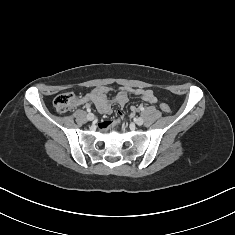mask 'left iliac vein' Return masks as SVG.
Segmentation results:
<instances>
[{
	"label": "left iliac vein",
	"mask_w": 235,
	"mask_h": 235,
	"mask_svg": "<svg viewBox=\"0 0 235 235\" xmlns=\"http://www.w3.org/2000/svg\"><path fill=\"white\" fill-rule=\"evenodd\" d=\"M134 122L136 125L141 126L144 123V119L142 117H137Z\"/></svg>",
	"instance_id": "left-iliac-vein-1"
}]
</instances>
